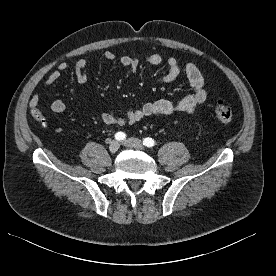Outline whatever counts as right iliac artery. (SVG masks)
<instances>
[{"mask_svg": "<svg viewBox=\"0 0 276 276\" xmlns=\"http://www.w3.org/2000/svg\"><path fill=\"white\" fill-rule=\"evenodd\" d=\"M126 138V134L124 132H117L115 134V139L118 140V141H122Z\"/></svg>", "mask_w": 276, "mask_h": 276, "instance_id": "82829eb1", "label": "right iliac artery"}]
</instances>
